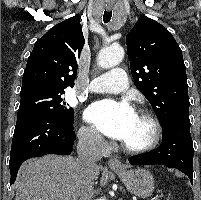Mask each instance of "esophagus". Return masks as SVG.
<instances>
[{
    "label": "esophagus",
    "instance_id": "esophagus-1",
    "mask_svg": "<svg viewBox=\"0 0 201 200\" xmlns=\"http://www.w3.org/2000/svg\"><path fill=\"white\" fill-rule=\"evenodd\" d=\"M108 164L113 169H122L123 168V165H122L121 161L118 158H115V157L111 158L108 161Z\"/></svg>",
    "mask_w": 201,
    "mask_h": 200
}]
</instances>
